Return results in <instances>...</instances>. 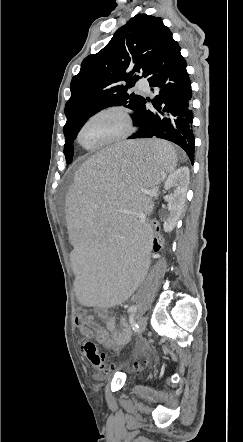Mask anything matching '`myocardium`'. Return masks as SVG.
<instances>
[{
	"mask_svg": "<svg viewBox=\"0 0 243 442\" xmlns=\"http://www.w3.org/2000/svg\"><path fill=\"white\" fill-rule=\"evenodd\" d=\"M109 113H116L123 119L124 126H125L123 132L120 133L119 135H117L116 137L109 139V140H107L103 143H100L98 145H95V146L85 145L81 140V133L83 131V128L86 126V124H88L94 118L104 115V114H109ZM133 129H134L133 120H132V116H131L129 110L122 107V106H111V107L101 109V110L93 113L92 115H90L88 118H86L83 121V123L80 125V127L77 131L76 139H77V142L79 143V145L82 146L86 150H91V151L99 150V149L108 147L110 145H113V144H116L118 142L125 140L126 138H128L131 135V133L133 132Z\"/></svg>",
	"mask_w": 243,
	"mask_h": 442,
	"instance_id": "obj_1",
	"label": "myocardium"
}]
</instances>
